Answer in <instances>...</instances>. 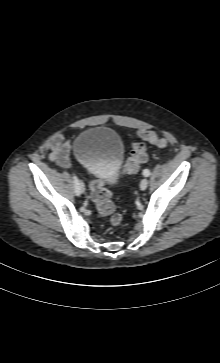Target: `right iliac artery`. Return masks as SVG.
Returning <instances> with one entry per match:
<instances>
[{
  "instance_id": "right-iliac-artery-1",
  "label": "right iliac artery",
  "mask_w": 220,
  "mask_h": 363,
  "mask_svg": "<svg viewBox=\"0 0 220 363\" xmlns=\"http://www.w3.org/2000/svg\"><path fill=\"white\" fill-rule=\"evenodd\" d=\"M73 183H74V190L76 195L81 194V188H80V181L78 180L77 176L73 175Z\"/></svg>"
}]
</instances>
